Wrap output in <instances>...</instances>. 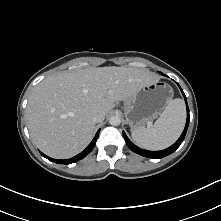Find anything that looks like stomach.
<instances>
[{
    "instance_id": "1",
    "label": "stomach",
    "mask_w": 221,
    "mask_h": 221,
    "mask_svg": "<svg viewBox=\"0 0 221 221\" xmlns=\"http://www.w3.org/2000/svg\"><path fill=\"white\" fill-rule=\"evenodd\" d=\"M173 89L162 81L142 85L124 102L125 118L132 130L144 128L168 105Z\"/></svg>"
}]
</instances>
